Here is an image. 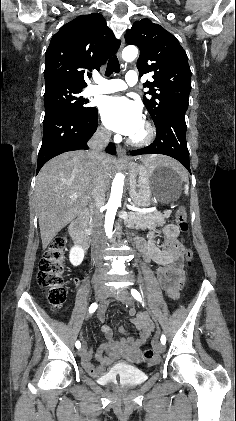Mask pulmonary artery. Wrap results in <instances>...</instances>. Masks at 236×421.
Listing matches in <instances>:
<instances>
[{
	"mask_svg": "<svg viewBox=\"0 0 236 421\" xmlns=\"http://www.w3.org/2000/svg\"><path fill=\"white\" fill-rule=\"evenodd\" d=\"M137 71L135 69H130L125 75V80L123 79H114L109 80L101 84L89 86L86 88L84 95L86 97L94 96L97 94L104 93H113L117 91H122L127 87L134 86L137 83Z\"/></svg>",
	"mask_w": 236,
	"mask_h": 421,
	"instance_id": "1",
	"label": "pulmonary artery"
}]
</instances>
